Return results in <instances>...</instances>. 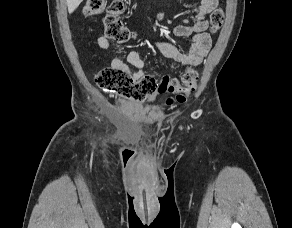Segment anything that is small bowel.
<instances>
[{
	"mask_svg": "<svg viewBox=\"0 0 292 228\" xmlns=\"http://www.w3.org/2000/svg\"><path fill=\"white\" fill-rule=\"evenodd\" d=\"M218 0H200L195 10L194 20L191 25L180 24L174 27L173 34L177 37H190L191 44L188 52L181 51L177 46L166 41H157L156 47L166 58H170L179 65L187 69H194L207 56L212 40L209 33L207 16L215 9ZM158 18L163 14L158 12ZM100 48L106 50L109 47V41L106 37L101 36L98 39ZM127 62L136 68L135 71L129 69L128 64L119 57L111 61V68L123 70L129 73L134 79H141L145 73L143 70L144 60L138 51H131L127 56Z\"/></svg>",
	"mask_w": 292,
	"mask_h": 228,
	"instance_id": "1",
	"label": "small bowel"
}]
</instances>
